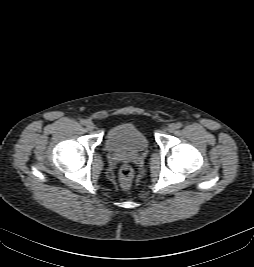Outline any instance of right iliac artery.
Masks as SVG:
<instances>
[{"mask_svg": "<svg viewBox=\"0 0 254 267\" xmlns=\"http://www.w3.org/2000/svg\"><path fill=\"white\" fill-rule=\"evenodd\" d=\"M80 123H81L82 125H85L86 120L82 119V120H80Z\"/></svg>", "mask_w": 254, "mask_h": 267, "instance_id": "1", "label": "right iliac artery"}]
</instances>
